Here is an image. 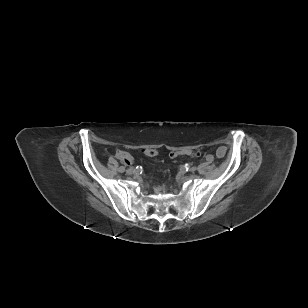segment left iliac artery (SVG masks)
Here are the masks:
<instances>
[{
    "mask_svg": "<svg viewBox=\"0 0 308 308\" xmlns=\"http://www.w3.org/2000/svg\"><path fill=\"white\" fill-rule=\"evenodd\" d=\"M206 160H207V162L210 163V162H212L213 158H212V156L209 155V156L206 157Z\"/></svg>",
    "mask_w": 308,
    "mask_h": 308,
    "instance_id": "1",
    "label": "left iliac artery"
}]
</instances>
